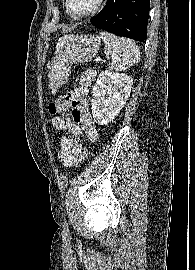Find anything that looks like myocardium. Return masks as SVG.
Listing matches in <instances>:
<instances>
[{"mask_svg":"<svg viewBox=\"0 0 195 270\" xmlns=\"http://www.w3.org/2000/svg\"><path fill=\"white\" fill-rule=\"evenodd\" d=\"M105 0H98L97 4L95 5V7L90 10L89 12L85 13V14H76L72 11L71 7H70V0H65V6H66V10L68 12V14L75 18V19H86L89 18L91 16H93L94 14H96L103 6Z\"/></svg>","mask_w":195,"mask_h":270,"instance_id":"myocardium-1","label":"myocardium"}]
</instances>
